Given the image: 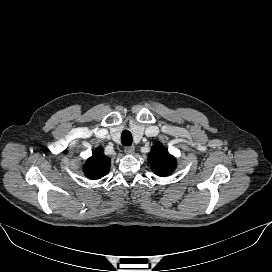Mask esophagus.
I'll return each mask as SVG.
<instances>
[{"instance_id": "34e87169", "label": "esophagus", "mask_w": 272, "mask_h": 272, "mask_svg": "<svg viewBox=\"0 0 272 272\" xmlns=\"http://www.w3.org/2000/svg\"><path fill=\"white\" fill-rule=\"evenodd\" d=\"M124 151L128 155H132L135 152V147L134 146H127V147H125Z\"/></svg>"}]
</instances>
